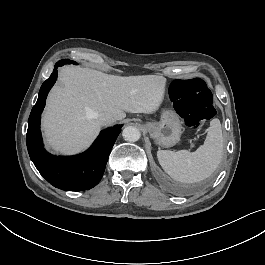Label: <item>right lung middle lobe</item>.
I'll list each match as a JSON object with an SVG mask.
<instances>
[{
    "label": "right lung middle lobe",
    "mask_w": 265,
    "mask_h": 265,
    "mask_svg": "<svg viewBox=\"0 0 265 265\" xmlns=\"http://www.w3.org/2000/svg\"><path fill=\"white\" fill-rule=\"evenodd\" d=\"M66 61L67 63H73V64H76L74 61H70V60H64Z\"/></svg>",
    "instance_id": "dd1d6c3e"
}]
</instances>
